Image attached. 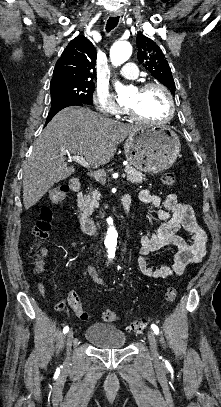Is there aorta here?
Here are the masks:
<instances>
[{
	"instance_id": "obj_1",
	"label": "aorta",
	"mask_w": 221,
	"mask_h": 407,
	"mask_svg": "<svg viewBox=\"0 0 221 407\" xmlns=\"http://www.w3.org/2000/svg\"><path fill=\"white\" fill-rule=\"evenodd\" d=\"M132 54V47L126 41L116 42L110 50V60L114 66H120L126 62ZM115 89L118 94V98H125L130 93V88L122 85L120 82L115 83ZM109 228L105 237L104 244L108 251V258H114L117 245L118 233L113 226V219L109 217L107 219Z\"/></svg>"
}]
</instances>
